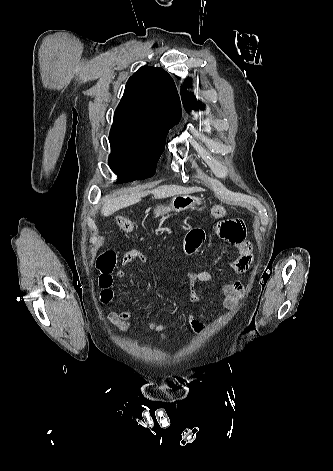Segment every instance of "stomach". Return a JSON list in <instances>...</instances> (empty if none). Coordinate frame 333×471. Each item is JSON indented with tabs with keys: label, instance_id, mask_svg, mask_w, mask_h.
<instances>
[{
	"label": "stomach",
	"instance_id": "0dacf381",
	"mask_svg": "<svg viewBox=\"0 0 333 471\" xmlns=\"http://www.w3.org/2000/svg\"><path fill=\"white\" fill-rule=\"evenodd\" d=\"M201 204V199L187 194L176 195L168 206H158L154 209L156 217L163 216L169 212H183Z\"/></svg>",
	"mask_w": 333,
	"mask_h": 471
}]
</instances>
